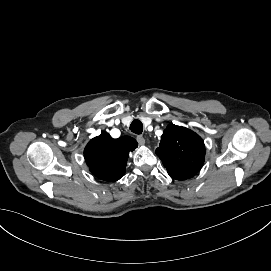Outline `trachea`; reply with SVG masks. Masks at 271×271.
I'll return each instance as SVG.
<instances>
[{"instance_id": "3493384b", "label": "trachea", "mask_w": 271, "mask_h": 271, "mask_svg": "<svg viewBox=\"0 0 271 271\" xmlns=\"http://www.w3.org/2000/svg\"><path fill=\"white\" fill-rule=\"evenodd\" d=\"M130 130L135 134H141L143 132V123L140 120L135 119L130 124Z\"/></svg>"}]
</instances>
